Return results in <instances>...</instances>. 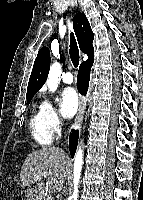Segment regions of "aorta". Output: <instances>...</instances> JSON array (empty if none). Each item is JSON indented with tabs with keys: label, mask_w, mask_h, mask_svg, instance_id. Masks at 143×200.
<instances>
[{
	"label": "aorta",
	"mask_w": 143,
	"mask_h": 200,
	"mask_svg": "<svg viewBox=\"0 0 143 200\" xmlns=\"http://www.w3.org/2000/svg\"><path fill=\"white\" fill-rule=\"evenodd\" d=\"M60 74H61V66L58 62H54L50 67L46 81L49 91L55 92L57 90ZM82 165H83V149L81 146H78L73 164V193L71 196L72 200H78Z\"/></svg>",
	"instance_id": "aorta-1"
}]
</instances>
